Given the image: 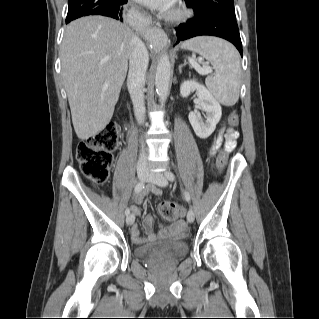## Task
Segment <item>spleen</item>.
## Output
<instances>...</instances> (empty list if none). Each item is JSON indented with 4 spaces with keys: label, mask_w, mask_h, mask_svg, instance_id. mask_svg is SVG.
Wrapping results in <instances>:
<instances>
[{
    "label": "spleen",
    "mask_w": 319,
    "mask_h": 319,
    "mask_svg": "<svg viewBox=\"0 0 319 319\" xmlns=\"http://www.w3.org/2000/svg\"><path fill=\"white\" fill-rule=\"evenodd\" d=\"M182 49L198 53L213 66L215 73L205 80L209 92L225 106L239 99L241 65L233 45L216 37H196L185 41Z\"/></svg>",
    "instance_id": "1"
}]
</instances>
